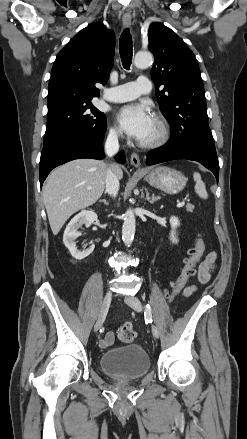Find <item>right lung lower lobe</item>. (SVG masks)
<instances>
[{"label": "right lung lower lobe", "mask_w": 247, "mask_h": 439, "mask_svg": "<svg viewBox=\"0 0 247 439\" xmlns=\"http://www.w3.org/2000/svg\"><path fill=\"white\" fill-rule=\"evenodd\" d=\"M105 131L106 126L98 131L69 134L44 142L39 167L40 186L50 171L61 164L79 158L103 159ZM116 159L124 163L125 154L118 153Z\"/></svg>", "instance_id": "right-lung-lower-lobe-1"}]
</instances>
